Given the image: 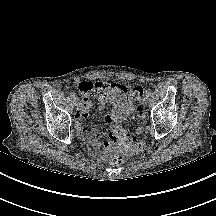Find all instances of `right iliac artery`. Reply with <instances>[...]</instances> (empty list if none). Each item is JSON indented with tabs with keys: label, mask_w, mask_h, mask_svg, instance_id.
Segmentation results:
<instances>
[{
	"label": "right iliac artery",
	"mask_w": 216,
	"mask_h": 216,
	"mask_svg": "<svg viewBox=\"0 0 216 216\" xmlns=\"http://www.w3.org/2000/svg\"><path fill=\"white\" fill-rule=\"evenodd\" d=\"M70 97L74 99V98H76V94L74 92H71Z\"/></svg>",
	"instance_id": "1"
}]
</instances>
